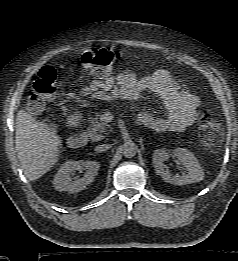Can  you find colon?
Instances as JSON below:
<instances>
[{"instance_id": "colon-1", "label": "colon", "mask_w": 238, "mask_h": 261, "mask_svg": "<svg viewBox=\"0 0 238 261\" xmlns=\"http://www.w3.org/2000/svg\"><path fill=\"white\" fill-rule=\"evenodd\" d=\"M119 52L111 47H95L86 50L81 57L82 64L96 77H106L119 61ZM57 74L54 68H41L31 85L29 107L39 112L45 102L56 93ZM199 135L201 142L210 150L220 146L224 135L221 122L212 114L204 113L199 119Z\"/></svg>"}]
</instances>
